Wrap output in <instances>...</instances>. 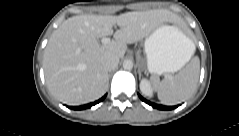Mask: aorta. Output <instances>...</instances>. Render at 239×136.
Returning a JSON list of instances; mask_svg holds the SVG:
<instances>
[{
  "instance_id": "aorta-1",
  "label": "aorta",
  "mask_w": 239,
  "mask_h": 136,
  "mask_svg": "<svg viewBox=\"0 0 239 136\" xmlns=\"http://www.w3.org/2000/svg\"><path fill=\"white\" fill-rule=\"evenodd\" d=\"M123 68L126 70H131L133 68V62L130 59H126L123 62Z\"/></svg>"
}]
</instances>
